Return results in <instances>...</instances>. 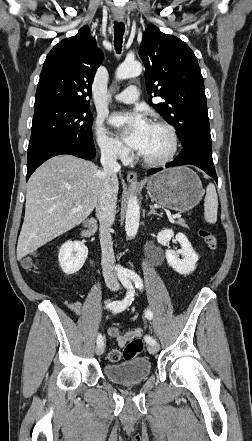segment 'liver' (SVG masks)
Instances as JSON below:
<instances>
[{
	"label": "liver",
	"mask_w": 252,
	"mask_h": 441,
	"mask_svg": "<svg viewBox=\"0 0 252 441\" xmlns=\"http://www.w3.org/2000/svg\"><path fill=\"white\" fill-rule=\"evenodd\" d=\"M102 171L72 155L43 163L27 184L25 217L17 243V259L37 250L86 220L98 206ZM118 178L113 183L117 197ZM82 206L83 209H75Z\"/></svg>",
	"instance_id": "1"
}]
</instances>
